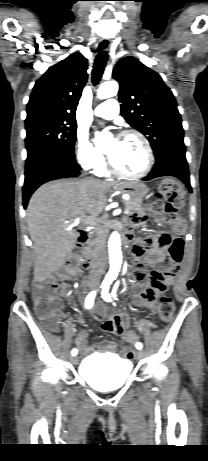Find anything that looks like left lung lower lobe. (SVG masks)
I'll return each mask as SVG.
<instances>
[{
	"label": "left lung lower lobe",
	"instance_id": "obj_1",
	"mask_svg": "<svg viewBox=\"0 0 208 461\" xmlns=\"http://www.w3.org/2000/svg\"><path fill=\"white\" fill-rule=\"evenodd\" d=\"M156 162L152 171L143 180H151L161 176H174L180 179L189 191H192L185 157V146H171L155 156Z\"/></svg>",
	"mask_w": 208,
	"mask_h": 461
}]
</instances>
